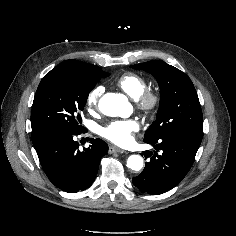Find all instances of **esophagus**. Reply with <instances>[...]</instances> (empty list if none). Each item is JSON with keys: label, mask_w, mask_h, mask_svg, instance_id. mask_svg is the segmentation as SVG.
<instances>
[{"label": "esophagus", "mask_w": 236, "mask_h": 236, "mask_svg": "<svg viewBox=\"0 0 236 236\" xmlns=\"http://www.w3.org/2000/svg\"><path fill=\"white\" fill-rule=\"evenodd\" d=\"M126 151L123 150V149H120L116 146H110L109 147V153L112 154V153H125Z\"/></svg>", "instance_id": "34e87169"}]
</instances>
